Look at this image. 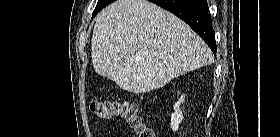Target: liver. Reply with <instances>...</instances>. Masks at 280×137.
Returning <instances> with one entry per match:
<instances>
[{
  "label": "liver",
  "instance_id": "6515ba94",
  "mask_svg": "<svg viewBox=\"0 0 280 137\" xmlns=\"http://www.w3.org/2000/svg\"><path fill=\"white\" fill-rule=\"evenodd\" d=\"M91 55L96 73L136 94L214 60L186 23L147 0H117L105 7L96 18Z\"/></svg>",
  "mask_w": 280,
  "mask_h": 137
}]
</instances>
